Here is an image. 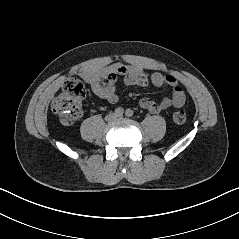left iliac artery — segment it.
Masks as SVG:
<instances>
[{"label": "left iliac artery", "mask_w": 239, "mask_h": 239, "mask_svg": "<svg viewBox=\"0 0 239 239\" xmlns=\"http://www.w3.org/2000/svg\"><path fill=\"white\" fill-rule=\"evenodd\" d=\"M133 110H131V109H127L126 110V112H125V115L127 116V117H132L133 116Z\"/></svg>", "instance_id": "44dca946"}]
</instances>
